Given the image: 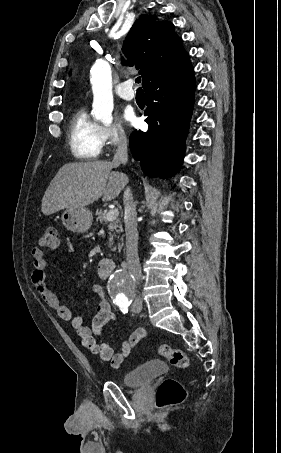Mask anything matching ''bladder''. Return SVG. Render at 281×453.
Returning <instances> with one entry per match:
<instances>
[{
	"label": "bladder",
	"mask_w": 281,
	"mask_h": 453,
	"mask_svg": "<svg viewBox=\"0 0 281 453\" xmlns=\"http://www.w3.org/2000/svg\"><path fill=\"white\" fill-rule=\"evenodd\" d=\"M167 370L168 366L163 361H149L127 372L122 378V383L127 387H138L164 374Z\"/></svg>",
	"instance_id": "obj_1"
}]
</instances>
